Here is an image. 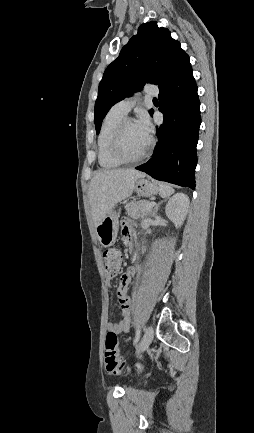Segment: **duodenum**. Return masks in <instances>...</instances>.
<instances>
[{
	"mask_svg": "<svg viewBox=\"0 0 254 433\" xmlns=\"http://www.w3.org/2000/svg\"><path fill=\"white\" fill-rule=\"evenodd\" d=\"M128 246H129V248H131V249L134 247L133 239H130V240L128 241Z\"/></svg>",
	"mask_w": 254,
	"mask_h": 433,
	"instance_id": "obj_1",
	"label": "duodenum"
}]
</instances>
